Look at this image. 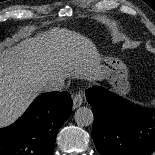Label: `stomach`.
I'll return each instance as SVG.
<instances>
[{
	"label": "stomach",
	"mask_w": 155,
	"mask_h": 155,
	"mask_svg": "<svg viewBox=\"0 0 155 155\" xmlns=\"http://www.w3.org/2000/svg\"><path fill=\"white\" fill-rule=\"evenodd\" d=\"M98 61L105 80L110 88L119 95L125 96L130 91L128 81V68L119 58L113 56H102L97 51Z\"/></svg>",
	"instance_id": "1"
}]
</instances>
